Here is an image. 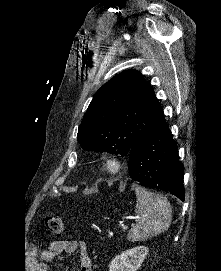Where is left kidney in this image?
Here are the masks:
<instances>
[{"instance_id":"left-kidney-1","label":"left kidney","mask_w":221,"mask_h":271,"mask_svg":"<svg viewBox=\"0 0 221 271\" xmlns=\"http://www.w3.org/2000/svg\"><path fill=\"white\" fill-rule=\"evenodd\" d=\"M149 247L146 245H137L122 251L120 255H115L109 263V271H137L143 263Z\"/></svg>"}]
</instances>
